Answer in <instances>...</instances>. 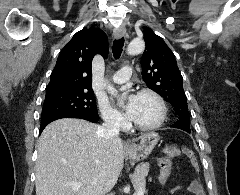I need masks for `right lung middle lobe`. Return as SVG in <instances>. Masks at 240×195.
I'll use <instances>...</instances> for the list:
<instances>
[{"mask_svg": "<svg viewBox=\"0 0 240 195\" xmlns=\"http://www.w3.org/2000/svg\"><path fill=\"white\" fill-rule=\"evenodd\" d=\"M72 114L98 115L93 90H70L46 95L41 121Z\"/></svg>", "mask_w": 240, "mask_h": 195, "instance_id": "obj_1", "label": "right lung middle lobe"}]
</instances>
